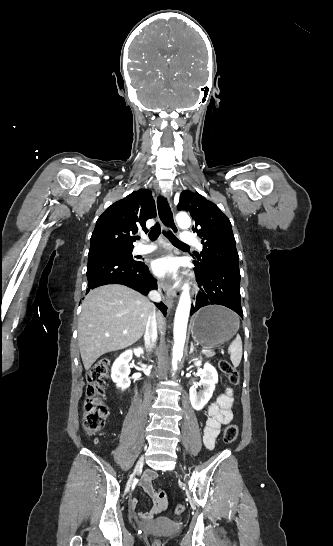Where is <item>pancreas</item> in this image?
<instances>
[{"instance_id": "1", "label": "pancreas", "mask_w": 333, "mask_h": 546, "mask_svg": "<svg viewBox=\"0 0 333 546\" xmlns=\"http://www.w3.org/2000/svg\"><path fill=\"white\" fill-rule=\"evenodd\" d=\"M206 357L210 358V357H213L215 355V352L213 350H209V352L207 353H204Z\"/></svg>"}]
</instances>
